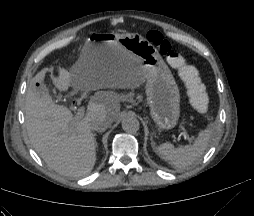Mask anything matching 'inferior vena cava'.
Listing matches in <instances>:
<instances>
[{
	"instance_id": "inferior-vena-cava-1",
	"label": "inferior vena cava",
	"mask_w": 254,
	"mask_h": 216,
	"mask_svg": "<svg viewBox=\"0 0 254 216\" xmlns=\"http://www.w3.org/2000/svg\"><path fill=\"white\" fill-rule=\"evenodd\" d=\"M110 124L105 117H96L90 121V129L92 131H105Z\"/></svg>"
}]
</instances>
